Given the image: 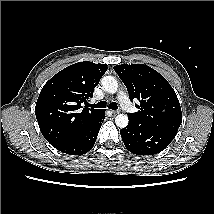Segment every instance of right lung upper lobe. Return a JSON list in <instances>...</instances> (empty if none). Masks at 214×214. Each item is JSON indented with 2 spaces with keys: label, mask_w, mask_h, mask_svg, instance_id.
I'll list each match as a JSON object with an SVG mask.
<instances>
[{
  "label": "right lung upper lobe",
  "mask_w": 214,
  "mask_h": 214,
  "mask_svg": "<svg viewBox=\"0 0 214 214\" xmlns=\"http://www.w3.org/2000/svg\"><path fill=\"white\" fill-rule=\"evenodd\" d=\"M106 64L84 61L70 65L54 75L42 88L35 115L41 133L56 149L68 144L103 110L83 103L107 71Z\"/></svg>",
  "instance_id": "1"
}]
</instances>
